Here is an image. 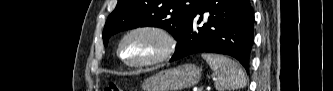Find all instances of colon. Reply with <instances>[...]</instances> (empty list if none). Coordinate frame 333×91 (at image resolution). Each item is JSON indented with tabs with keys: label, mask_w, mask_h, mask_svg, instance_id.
Masks as SVG:
<instances>
[{
	"label": "colon",
	"mask_w": 333,
	"mask_h": 91,
	"mask_svg": "<svg viewBox=\"0 0 333 91\" xmlns=\"http://www.w3.org/2000/svg\"><path fill=\"white\" fill-rule=\"evenodd\" d=\"M105 91H122L123 88L116 83L110 82L106 85Z\"/></svg>",
	"instance_id": "obj_1"
}]
</instances>
